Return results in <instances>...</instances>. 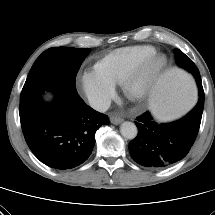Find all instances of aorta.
<instances>
[{
    "mask_svg": "<svg viewBox=\"0 0 215 215\" xmlns=\"http://www.w3.org/2000/svg\"><path fill=\"white\" fill-rule=\"evenodd\" d=\"M120 133L126 139L131 140L137 136L138 130L134 123L126 121L121 124Z\"/></svg>",
    "mask_w": 215,
    "mask_h": 215,
    "instance_id": "aorta-1",
    "label": "aorta"
}]
</instances>
